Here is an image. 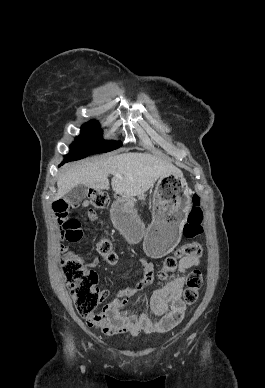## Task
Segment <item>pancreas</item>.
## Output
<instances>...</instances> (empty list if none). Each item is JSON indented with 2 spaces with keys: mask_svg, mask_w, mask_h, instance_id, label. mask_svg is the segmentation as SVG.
Instances as JSON below:
<instances>
[{
  "mask_svg": "<svg viewBox=\"0 0 265 388\" xmlns=\"http://www.w3.org/2000/svg\"><path fill=\"white\" fill-rule=\"evenodd\" d=\"M139 200H145V196H139Z\"/></svg>",
  "mask_w": 265,
  "mask_h": 388,
  "instance_id": "cf45deb5",
  "label": "pancreas"
}]
</instances>
